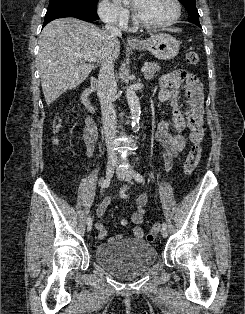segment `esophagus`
Listing matches in <instances>:
<instances>
[{"label": "esophagus", "mask_w": 245, "mask_h": 314, "mask_svg": "<svg viewBox=\"0 0 245 314\" xmlns=\"http://www.w3.org/2000/svg\"><path fill=\"white\" fill-rule=\"evenodd\" d=\"M126 41H127V43H129V44H133V43H136V42H137V40L134 39V38H132V37H128Z\"/></svg>", "instance_id": "esophagus-1"}]
</instances>
